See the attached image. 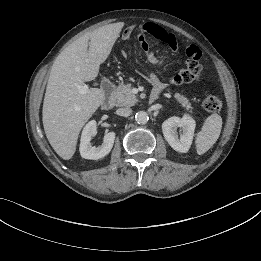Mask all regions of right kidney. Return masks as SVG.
Instances as JSON below:
<instances>
[{
  "mask_svg": "<svg viewBox=\"0 0 261 261\" xmlns=\"http://www.w3.org/2000/svg\"><path fill=\"white\" fill-rule=\"evenodd\" d=\"M97 134L96 121H89L83 128L80 142V155L85 159L97 160L105 157L111 151L114 140L115 132L107 133L103 138V143L99 147L92 146L90 141L93 136Z\"/></svg>",
  "mask_w": 261,
  "mask_h": 261,
  "instance_id": "obj_1",
  "label": "right kidney"
}]
</instances>
